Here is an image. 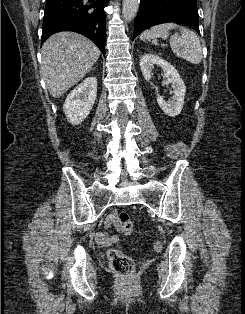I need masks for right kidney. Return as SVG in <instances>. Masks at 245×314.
<instances>
[{"mask_svg": "<svg viewBox=\"0 0 245 314\" xmlns=\"http://www.w3.org/2000/svg\"><path fill=\"white\" fill-rule=\"evenodd\" d=\"M97 96V79L88 77L67 96L63 111L72 125H78L90 113Z\"/></svg>", "mask_w": 245, "mask_h": 314, "instance_id": "right-kidney-1", "label": "right kidney"}]
</instances>
